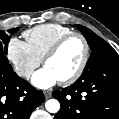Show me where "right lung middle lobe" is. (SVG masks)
<instances>
[{
  "instance_id": "1",
  "label": "right lung middle lobe",
  "mask_w": 119,
  "mask_h": 119,
  "mask_svg": "<svg viewBox=\"0 0 119 119\" xmlns=\"http://www.w3.org/2000/svg\"><path fill=\"white\" fill-rule=\"evenodd\" d=\"M19 30V28H13L8 30L9 33L14 34ZM9 36L5 34L4 31H0V72L2 73H12V66L9 64V61L6 57Z\"/></svg>"
}]
</instances>
